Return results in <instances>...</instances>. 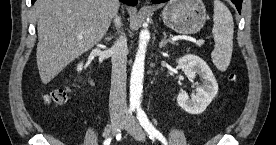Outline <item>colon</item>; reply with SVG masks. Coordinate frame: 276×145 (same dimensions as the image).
<instances>
[{
  "label": "colon",
  "mask_w": 276,
  "mask_h": 145,
  "mask_svg": "<svg viewBox=\"0 0 276 145\" xmlns=\"http://www.w3.org/2000/svg\"><path fill=\"white\" fill-rule=\"evenodd\" d=\"M68 93L67 89H55L46 95L45 101L50 105H62L67 101Z\"/></svg>",
  "instance_id": "obj_1"
}]
</instances>
